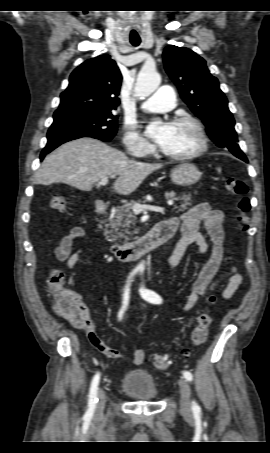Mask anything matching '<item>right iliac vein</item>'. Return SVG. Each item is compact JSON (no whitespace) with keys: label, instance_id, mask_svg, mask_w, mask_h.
I'll return each instance as SVG.
<instances>
[{"label":"right iliac vein","instance_id":"obj_1","mask_svg":"<svg viewBox=\"0 0 270 453\" xmlns=\"http://www.w3.org/2000/svg\"><path fill=\"white\" fill-rule=\"evenodd\" d=\"M104 406H105V393L104 391L101 390L98 395V402L95 410L96 415L100 416L103 413Z\"/></svg>","mask_w":270,"mask_h":453}]
</instances>
